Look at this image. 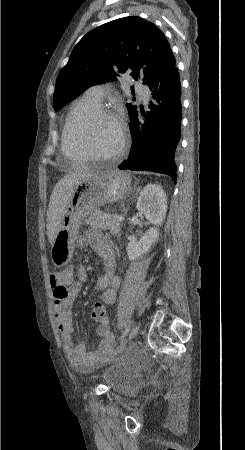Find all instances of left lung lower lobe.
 Segmentation results:
<instances>
[{
	"label": "left lung lower lobe",
	"instance_id": "0a47b994",
	"mask_svg": "<svg viewBox=\"0 0 245 450\" xmlns=\"http://www.w3.org/2000/svg\"><path fill=\"white\" fill-rule=\"evenodd\" d=\"M147 86L153 101L151 111L131 117L132 150L120 170L167 174L176 182L175 152L181 129V84L174 55Z\"/></svg>",
	"mask_w": 245,
	"mask_h": 450
}]
</instances>
